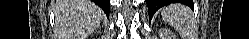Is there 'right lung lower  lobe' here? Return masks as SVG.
<instances>
[{"mask_svg": "<svg viewBox=\"0 0 249 39\" xmlns=\"http://www.w3.org/2000/svg\"><path fill=\"white\" fill-rule=\"evenodd\" d=\"M109 16L110 0H93Z\"/></svg>", "mask_w": 249, "mask_h": 39, "instance_id": "98d812e1", "label": "right lung lower lobe"}]
</instances>
